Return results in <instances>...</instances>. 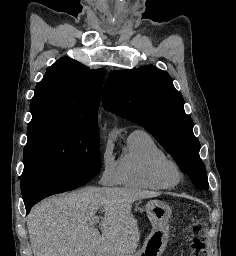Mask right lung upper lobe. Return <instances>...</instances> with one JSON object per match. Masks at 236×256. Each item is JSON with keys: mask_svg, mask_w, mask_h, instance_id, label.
I'll use <instances>...</instances> for the list:
<instances>
[{"mask_svg": "<svg viewBox=\"0 0 236 256\" xmlns=\"http://www.w3.org/2000/svg\"><path fill=\"white\" fill-rule=\"evenodd\" d=\"M105 78L102 69L61 58L46 72L30 103L32 120L97 127V110Z\"/></svg>", "mask_w": 236, "mask_h": 256, "instance_id": "right-lung-upper-lobe-1", "label": "right lung upper lobe"}]
</instances>
